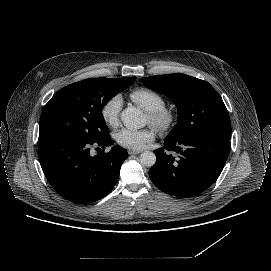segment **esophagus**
I'll return each instance as SVG.
<instances>
[{"instance_id": "34e87169", "label": "esophagus", "mask_w": 271, "mask_h": 271, "mask_svg": "<svg viewBox=\"0 0 271 271\" xmlns=\"http://www.w3.org/2000/svg\"><path fill=\"white\" fill-rule=\"evenodd\" d=\"M141 152H142V150H140V149H129L128 150L129 155H136V154H139Z\"/></svg>"}]
</instances>
